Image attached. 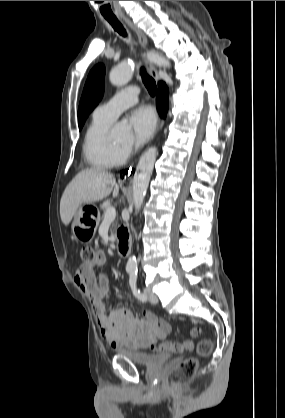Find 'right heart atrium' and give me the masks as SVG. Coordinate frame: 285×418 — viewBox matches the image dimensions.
<instances>
[{
	"instance_id": "obj_1",
	"label": "right heart atrium",
	"mask_w": 285,
	"mask_h": 418,
	"mask_svg": "<svg viewBox=\"0 0 285 418\" xmlns=\"http://www.w3.org/2000/svg\"><path fill=\"white\" fill-rule=\"evenodd\" d=\"M120 152L123 156H126L130 152V148L129 147H121Z\"/></svg>"
}]
</instances>
